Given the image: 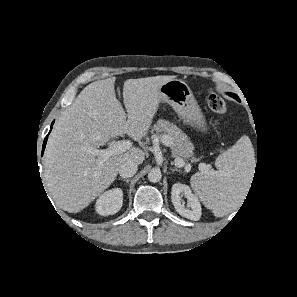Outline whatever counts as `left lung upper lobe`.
I'll list each match as a JSON object with an SVG mask.
<instances>
[{
  "label": "left lung upper lobe",
  "instance_id": "5c2ea615",
  "mask_svg": "<svg viewBox=\"0 0 297 297\" xmlns=\"http://www.w3.org/2000/svg\"><path fill=\"white\" fill-rule=\"evenodd\" d=\"M232 97L235 98V97H237V95L236 94H232Z\"/></svg>",
  "mask_w": 297,
  "mask_h": 297
}]
</instances>
